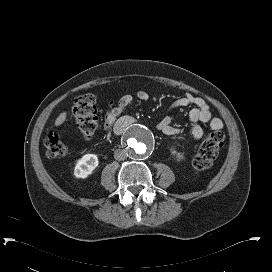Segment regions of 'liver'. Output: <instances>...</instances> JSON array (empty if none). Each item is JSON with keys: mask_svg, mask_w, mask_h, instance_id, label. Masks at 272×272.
<instances>
[{"mask_svg": "<svg viewBox=\"0 0 272 272\" xmlns=\"http://www.w3.org/2000/svg\"><path fill=\"white\" fill-rule=\"evenodd\" d=\"M67 117V112H62L55 120L54 125L55 126H60L61 124H63L66 120Z\"/></svg>", "mask_w": 272, "mask_h": 272, "instance_id": "obj_1", "label": "liver"}]
</instances>
